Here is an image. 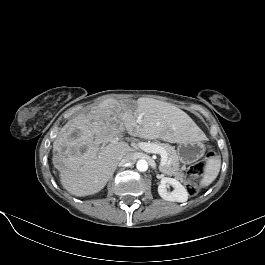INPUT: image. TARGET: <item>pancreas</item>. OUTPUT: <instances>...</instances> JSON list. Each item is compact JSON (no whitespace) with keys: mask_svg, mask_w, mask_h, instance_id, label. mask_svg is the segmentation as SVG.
Segmentation results:
<instances>
[{"mask_svg":"<svg viewBox=\"0 0 265 265\" xmlns=\"http://www.w3.org/2000/svg\"><path fill=\"white\" fill-rule=\"evenodd\" d=\"M154 144H157L164 148L167 152L168 162L165 165L159 166V169L162 173L175 176L177 179L183 178L182 169L180 168L179 158L177 152L173 146L167 143H161L160 141H154Z\"/></svg>","mask_w":265,"mask_h":265,"instance_id":"1","label":"pancreas"}]
</instances>
